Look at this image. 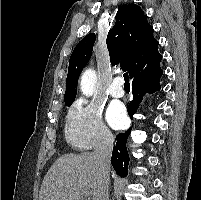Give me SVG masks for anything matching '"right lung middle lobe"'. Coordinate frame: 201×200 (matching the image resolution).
I'll list each match as a JSON object with an SVG mask.
<instances>
[{
  "label": "right lung middle lobe",
  "mask_w": 201,
  "mask_h": 200,
  "mask_svg": "<svg viewBox=\"0 0 201 200\" xmlns=\"http://www.w3.org/2000/svg\"><path fill=\"white\" fill-rule=\"evenodd\" d=\"M74 99L65 100V105L70 106L73 103Z\"/></svg>",
  "instance_id": "right-lung-middle-lobe-1"
}]
</instances>
